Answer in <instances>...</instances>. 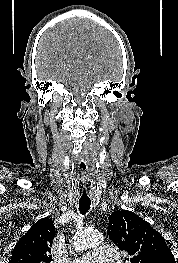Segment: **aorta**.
I'll return each mask as SVG.
<instances>
[{
  "instance_id": "aorta-1",
  "label": "aorta",
  "mask_w": 178,
  "mask_h": 263,
  "mask_svg": "<svg viewBox=\"0 0 178 263\" xmlns=\"http://www.w3.org/2000/svg\"><path fill=\"white\" fill-rule=\"evenodd\" d=\"M104 241L103 235L96 230H85L77 232L73 239V247L76 251H82L89 247L101 244Z\"/></svg>"
}]
</instances>
